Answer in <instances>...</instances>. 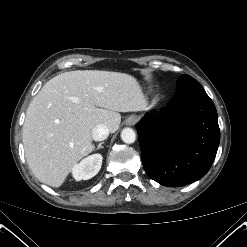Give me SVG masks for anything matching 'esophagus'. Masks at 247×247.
<instances>
[{"label":"esophagus","instance_id":"esophagus-1","mask_svg":"<svg viewBox=\"0 0 247 247\" xmlns=\"http://www.w3.org/2000/svg\"><path fill=\"white\" fill-rule=\"evenodd\" d=\"M136 122V117L131 116L127 119V124L133 125Z\"/></svg>","mask_w":247,"mask_h":247}]
</instances>
